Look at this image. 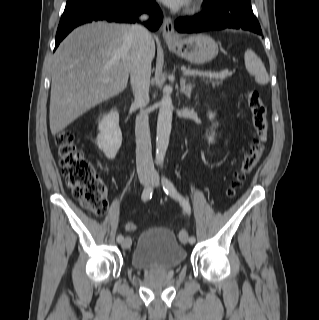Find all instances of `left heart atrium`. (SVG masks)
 Masks as SVG:
<instances>
[{
    "label": "left heart atrium",
    "instance_id": "1",
    "mask_svg": "<svg viewBox=\"0 0 319 320\" xmlns=\"http://www.w3.org/2000/svg\"><path fill=\"white\" fill-rule=\"evenodd\" d=\"M164 4L172 8H178L186 5L190 0H160Z\"/></svg>",
    "mask_w": 319,
    "mask_h": 320
}]
</instances>
